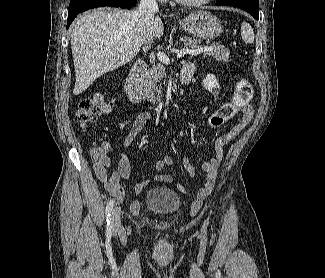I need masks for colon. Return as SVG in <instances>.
Wrapping results in <instances>:
<instances>
[{"mask_svg": "<svg viewBox=\"0 0 325 278\" xmlns=\"http://www.w3.org/2000/svg\"><path fill=\"white\" fill-rule=\"evenodd\" d=\"M252 97V84L245 79L238 80L235 84L232 100L221 106L208 118L206 127L209 129L220 127L232 118L240 108L247 105ZM110 108V103L99 95L84 98L79 102L76 119L82 127H86L95 122L100 115L109 112ZM91 152L94 159L100 160L105 154V148L103 146L95 147Z\"/></svg>", "mask_w": 325, "mask_h": 278, "instance_id": "5ec220e1", "label": "colon"}]
</instances>
